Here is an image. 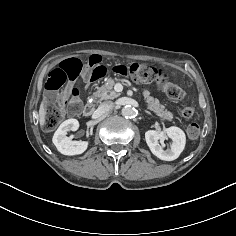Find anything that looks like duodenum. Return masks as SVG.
Segmentation results:
<instances>
[{"label":"duodenum","mask_w":236,"mask_h":236,"mask_svg":"<svg viewBox=\"0 0 236 236\" xmlns=\"http://www.w3.org/2000/svg\"><path fill=\"white\" fill-rule=\"evenodd\" d=\"M85 116L86 117H90L93 113V105L92 104H88L86 107H85Z\"/></svg>","instance_id":"410a0bca"}]
</instances>
